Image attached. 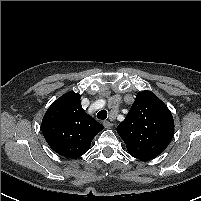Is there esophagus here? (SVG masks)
<instances>
[{
    "instance_id": "1",
    "label": "esophagus",
    "mask_w": 201,
    "mask_h": 201,
    "mask_svg": "<svg viewBox=\"0 0 201 201\" xmlns=\"http://www.w3.org/2000/svg\"><path fill=\"white\" fill-rule=\"evenodd\" d=\"M103 125L105 128L109 129L113 126V123H111L110 121H103Z\"/></svg>"
}]
</instances>
